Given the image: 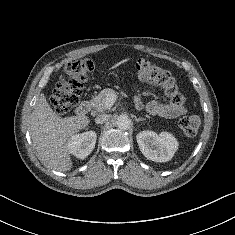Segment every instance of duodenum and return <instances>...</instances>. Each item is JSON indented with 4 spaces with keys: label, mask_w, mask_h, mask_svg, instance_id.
I'll return each instance as SVG.
<instances>
[{
    "label": "duodenum",
    "mask_w": 235,
    "mask_h": 235,
    "mask_svg": "<svg viewBox=\"0 0 235 235\" xmlns=\"http://www.w3.org/2000/svg\"><path fill=\"white\" fill-rule=\"evenodd\" d=\"M91 110V103L88 100L82 101L76 108V113L80 116L86 115Z\"/></svg>",
    "instance_id": "duodenum-1"
}]
</instances>
